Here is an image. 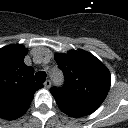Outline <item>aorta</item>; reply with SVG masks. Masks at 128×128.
Returning a JSON list of instances; mask_svg holds the SVG:
<instances>
[{
  "instance_id": "obj_1",
  "label": "aorta",
  "mask_w": 128,
  "mask_h": 128,
  "mask_svg": "<svg viewBox=\"0 0 128 128\" xmlns=\"http://www.w3.org/2000/svg\"><path fill=\"white\" fill-rule=\"evenodd\" d=\"M50 76H51V79H52L53 83L55 84V86L62 87L64 85L65 79H64L63 73L60 69L53 68L50 71Z\"/></svg>"
}]
</instances>
